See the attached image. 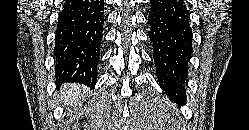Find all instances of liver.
<instances>
[{
	"label": "liver",
	"instance_id": "liver-1",
	"mask_svg": "<svg viewBox=\"0 0 249 130\" xmlns=\"http://www.w3.org/2000/svg\"><path fill=\"white\" fill-rule=\"evenodd\" d=\"M80 95L81 88L73 84L64 87L61 91V99L65 106L73 107L78 104Z\"/></svg>",
	"mask_w": 249,
	"mask_h": 130
}]
</instances>
